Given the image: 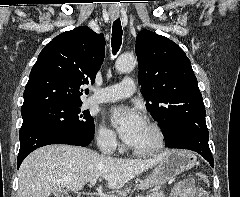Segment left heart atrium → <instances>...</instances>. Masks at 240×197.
Instances as JSON below:
<instances>
[{"label":"left heart atrium","instance_id":"obj_1","mask_svg":"<svg viewBox=\"0 0 240 197\" xmlns=\"http://www.w3.org/2000/svg\"><path fill=\"white\" fill-rule=\"evenodd\" d=\"M112 125L128 145L133 144L141 135L146 122L138 109L129 106H116L109 115Z\"/></svg>","mask_w":240,"mask_h":197}]
</instances>
